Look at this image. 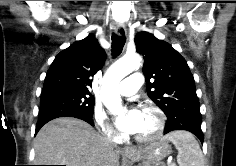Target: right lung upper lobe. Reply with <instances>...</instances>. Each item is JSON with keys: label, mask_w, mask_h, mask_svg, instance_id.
Returning <instances> with one entry per match:
<instances>
[{"label": "right lung upper lobe", "mask_w": 236, "mask_h": 166, "mask_svg": "<svg viewBox=\"0 0 236 166\" xmlns=\"http://www.w3.org/2000/svg\"><path fill=\"white\" fill-rule=\"evenodd\" d=\"M105 59V51L95 36L89 34L55 57L47 72L42 91L65 88L90 93V77L103 67Z\"/></svg>", "instance_id": "1"}]
</instances>
